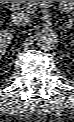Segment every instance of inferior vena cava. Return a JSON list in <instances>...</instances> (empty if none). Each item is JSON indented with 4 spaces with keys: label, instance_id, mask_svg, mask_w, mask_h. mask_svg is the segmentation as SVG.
I'll return each instance as SVG.
<instances>
[{
    "label": "inferior vena cava",
    "instance_id": "602c4592",
    "mask_svg": "<svg viewBox=\"0 0 74 122\" xmlns=\"http://www.w3.org/2000/svg\"><path fill=\"white\" fill-rule=\"evenodd\" d=\"M10 20L14 25L26 26L31 23L32 18L24 11H16L12 13Z\"/></svg>",
    "mask_w": 74,
    "mask_h": 122
}]
</instances>
